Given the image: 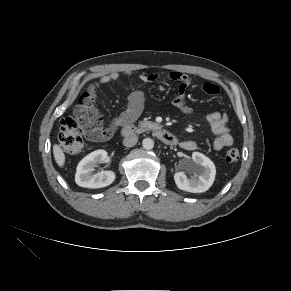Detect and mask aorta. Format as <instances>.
Segmentation results:
<instances>
[{
    "label": "aorta",
    "mask_w": 291,
    "mask_h": 291,
    "mask_svg": "<svg viewBox=\"0 0 291 291\" xmlns=\"http://www.w3.org/2000/svg\"><path fill=\"white\" fill-rule=\"evenodd\" d=\"M142 146L146 150H151L154 147V141L151 138H145L142 141Z\"/></svg>",
    "instance_id": "1"
}]
</instances>
